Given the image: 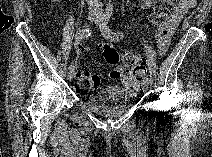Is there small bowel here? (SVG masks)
Wrapping results in <instances>:
<instances>
[{
  "label": "small bowel",
  "mask_w": 212,
  "mask_h": 157,
  "mask_svg": "<svg viewBox=\"0 0 212 157\" xmlns=\"http://www.w3.org/2000/svg\"><path fill=\"white\" fill-rule=\"evenodd\" d=\"M150 2L146 1L142 4L143 8L149 7ZM195 5L194 0H181L177 3L176 8L172 15L166 20V23L162 29V35L158 39L160 45V52L164 54L167 51L169 39L179 24L180 20L187 12L188 9L192 8ZM76 49L79 53H89L92 51V48L82 42L81 40H77L75 43ZM142 79V78H141ZM141 79L133 80L129 83H123L126 88H138L140 85Z\"/></svg>",
  "instance_id": "c3829d8e"
}]
</instances>
